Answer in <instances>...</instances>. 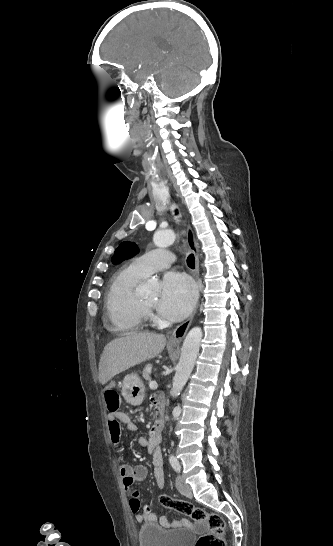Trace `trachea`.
I'll return each instance as SVG.
<instances>
[{
    "label": "trachea",
    "mask_w": 333,
    "mask_h": 546,
    "mask_svg": "<svg viewBox=\"0 0 333 546\" xmlns=\"http://www.w3.org/2000/svg\"><path fill=\"white\" fill-rule=\"evenodd\" d=\"M187 265H188L191 269H194V268H195V258H194V255H193V254H190V255L187 257Z\"/></svg>",
    "instance_id": "1"
}]
</instances>
